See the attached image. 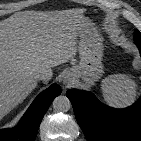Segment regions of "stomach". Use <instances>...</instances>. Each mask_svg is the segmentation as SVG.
<instances>
[{
  "label": "stomach",
  "instance_id": "stomach-1",
  "mask_svg": "<svg viewBox=\"0 0 141 141\" xmlns=\"http://www.w3.org/2000/svg\"><path fill=\"white\" fill-rule=\"evenodd\" d=\"M78 54L80 62L70 71L77 79H81L85 86L90 87L104 72L102 38L92 24L79 35Z\"/></svg>",
  "mask_w": 141,
  "mask_h": 141
}]
</instances>
